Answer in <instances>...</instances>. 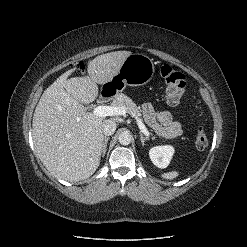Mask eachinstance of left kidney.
Listing matches in <instances>:
<instances>
[{
    "mask_svg": "<svg viewBox=\"0 0 247 247\" xmlns=\"http://www.w3.org/2000/svg\"><path fill=\"white\" fill-rule=\"evenodd\" d=\"M174 154V148L170 145L156 146L150 149L149 156L152 163L158 168H166Z\"/></svg>",
    "mask_w": 247,
    "mask_h": 247,
    "instance_id": "1",
    "label": "left kidney"
}]
</instances>
